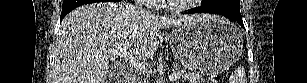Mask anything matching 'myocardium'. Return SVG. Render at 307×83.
Listing matches in <instances>:
<instances>
[{"mask_svg":"<svg viewBox=\"0 0 307 83\" xmlns=\"http://www.w3.org/2000/svg\"><path fill=\"white\" fill-rule=\"evenodd\" d=\"M200 0H188L185 2H172L167 1L163 2L162 8L172 12V13H180L189 10L192 7L193 3H197Z\"/></svg>","mask_w":307,"mask_h":83,"instance_id":"1","label":"myocardium"}]
</instances>
